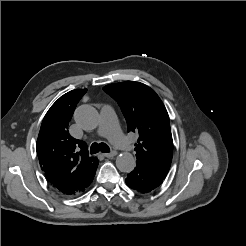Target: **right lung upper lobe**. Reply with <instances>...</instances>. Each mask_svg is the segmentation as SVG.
<instances>
[{"label":"right lung upper lobe","mask_w":246,"mask_h":246,"mask_svg":"<svg viewBox=\"0 0 246 246\" xmlns=\"http://www.w3.org/2000/svg\"><path fill=\"white\" fill-rule=\"evenodd\" d=\"M87 89H75L61 96L46 113L36 149L47 180L64 195H75L92 182L98 160L90 157L85 142L73 138L68 124Z\"/></svg>","instance_id":"right-lung-upper-lobe-1"}]
</instances>
